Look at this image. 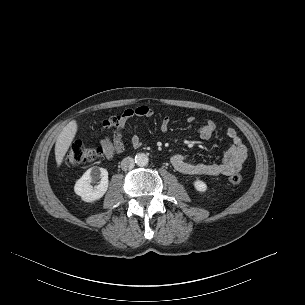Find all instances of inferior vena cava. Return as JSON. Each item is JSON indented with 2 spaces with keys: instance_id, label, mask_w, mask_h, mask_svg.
Listing matches in <instances>:
<instances>
[{
  "instance_id": "obj_1",
  "label": "inferior vena cava",
  "mask_w": 305,
  "mask_h": 305,
  "mask_svg": "<svg viewBox=\"0 0 305 305\" xmlns=\"http://www.w3.org/2000/svg\"><path fill=\"white\" fill-rule=\"evenodd\" d=\"M134 166H135V162L131 157H126L121 161V168L124 171L131 170L134 168Z\"/></svg>"
}]
</instances>
